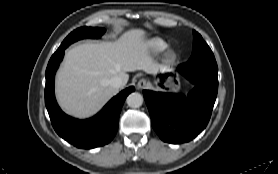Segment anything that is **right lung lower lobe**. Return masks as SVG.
Segmentation results:
<instances>
[{"instance_id":"right-lung-lower-lobe-1","label":"right lung lower lobe","mask_w":278,"mask_h":174,"mask_svg":"<svg viewBox=\"0 0 278 174\" xmlns=\"http://www.w3.org/2000/svg\"><path fill=\"white\" fill-rule=\"evenodd\" d=\"M65 47H59L49 60L46 69L45 104L52 126L57 134L78 148H95L109 143L118 129L123 103L134 87L126 88L113 97L94 117L74 119L61 111L54 97V77L64 56Z\"/></svg>"}]
</instances>
